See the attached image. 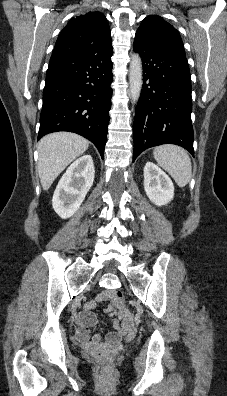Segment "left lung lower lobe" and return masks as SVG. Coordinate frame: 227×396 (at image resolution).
I'll use <instances>...</instances> for the list:
<instances>
[{"instance_id": "left-lung-lower-lobe-1", "label": "left lung lower lobe", "mask_w": 227, "mask_h": 396, "mask_svg": "<svg viewBox=\"0 0 227 396\" xmlns=\"http://www.w3.org/2000/svg\"><path fill=\"white\" fill-rule=\"evenodd\" d=\"M143 64V89L133 125V161L147 148L176 144L194 155L191 77L185 54L134 40Z\"/></svg>"}]
</instances>
